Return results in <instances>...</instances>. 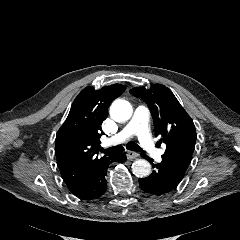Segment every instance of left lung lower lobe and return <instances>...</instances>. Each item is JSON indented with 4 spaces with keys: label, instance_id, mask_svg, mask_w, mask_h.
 Masks as SVG:
<instances>
[{
    "label": "left lung lower lobe",
    "instance_id": "1",
    "mask_svg": "<svg viewBox=\"0 0 240 240\" xmlns=\"http://www.w3.org/2000/svg\"><path fill=\"white\" fill-rule=\"evenodd\" d=\"M142 156L152 162V159L148 156ZM153 168L154 171L151 175L139 179L141 189L149 195H163L169 193L176 189L184 178V174H181L164 162L153 164Z\"/></svg>",
    "mask_w": 240,
    "mask_h": 240
}]
</instances>
